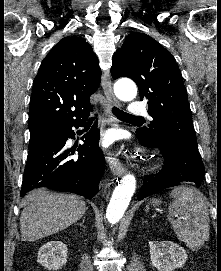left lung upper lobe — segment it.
<instances>
[{"label": "left lung upper lobe", "instance_id": "obj_1", "mask_svg": "<svg viewBox=\"0 0 221 271\" xmlns=\"http://www.w3.org/2000/svg\"><path fill=\"white\" fill-rule=\"evenodd\" d=\"M113 79L129 77L147 98L153 121L137 129L148 136L167 132L197 147L192 114L181 72L174 57L162 45L144 33L129 34L113 56Z\"/></svg>", "mask_w": 221, "mask_h": 271}]
</instances>
